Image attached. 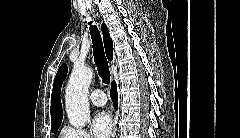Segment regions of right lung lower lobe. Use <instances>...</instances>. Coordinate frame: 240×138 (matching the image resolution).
<instances>
[{"label":"right lung lower lobe","mask_w":240,"mask_h":138,"mask_svg":"<svg viewBox=\"0 0 240 138\" xmlns=\"http://www.w3.org/2000/svg\"><path fill=\"white\" fill-rule=\"evenodd\" d=\"M110 94H111V97L113 100L114 108L117 109L118 108V103H117L118 94H117V85L115 82L112 83V88H111Z\"/></svg>","instance_id":"right-lung-lower-lobe-1"}]
</instances>
